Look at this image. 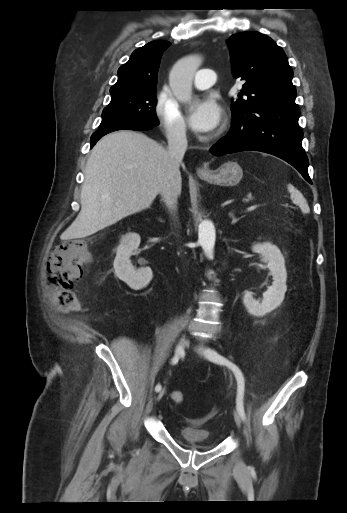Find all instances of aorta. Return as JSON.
Here are the masks:
<instances>
[{"label":"aorta","instance_id":"762f6f07","mask_svg":"<svg viewBox=\"0 0 347 513\" xmlns=\"http://www.w3.org/2000/svg\"><path fill=\"white\" fill-rule=\"evenodd\" d=\"M198 55H189L178 60L169 74V84L174 96L183 103L192 100V81L201 65ZM215 228L211 221L204 220L199 226V241L208 258H213L215 246Z\"/></svg>","mask_w":347,"mask_h":513}]
</instances>
